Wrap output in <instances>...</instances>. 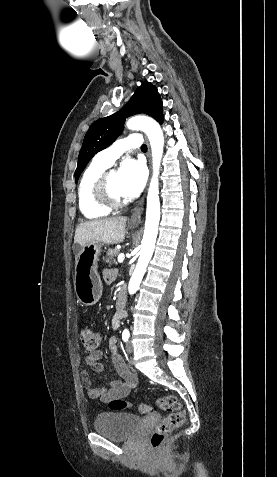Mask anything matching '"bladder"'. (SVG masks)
Masks as SVG:
<instances>
[{"label": "bladder", "mask_w": 277, "mask_h": 477, "mask_svg": "<svg viewBox=\"0 0 277 477\" xmlns=\"http://www.w3.org/2000/svg\"><path fill=\"white\" fill-rule=\"evenodd\" d=\"M140 424V417L132 413L107 412L96 417L94 429L111 440L124 441L136 434Z\"/></svg>", "instance_id": "bladder-1"}]
</instances>
